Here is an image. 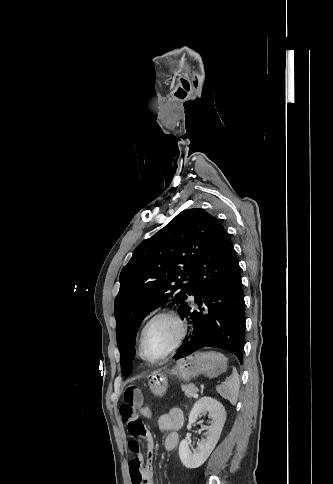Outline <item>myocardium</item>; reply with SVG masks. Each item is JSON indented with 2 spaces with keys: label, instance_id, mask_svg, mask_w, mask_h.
I'll list each match as a JSON object with an SVG mask.
<instances>
[{
  "label": "myocardium",
  "instance_id": "obj_1",
  "mask_svg": "<svg viewBox=\"0 0 333 484\" xmlns=\"http://www.w3.org/2000/svg\"><path fill=\"white\" fill-rule=\"evenodd\" d=\"M159 319H169L172 322H174L175 325L177 326L178 334H177L175 340L173 341V343L171 344V346L161 356H159L157 358H150V357L145 355L144 350H143L144 336H145V333H146L147 329L149 328V326ZM187 331H188L187 324H186L185 320L178 313H176L174 311L158 312V313L154 314L144 324V326L141 329L139 340H138V353H139V355L142 359H144L148 362H151V363L161 362V361L165 360L166 358H168L171 354H173L180 347V345L183 343L184 339L186 338Z\"/></svg>",
  "mask_w": 333,
  "mask_h": 484
}]
</instances>
